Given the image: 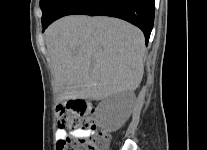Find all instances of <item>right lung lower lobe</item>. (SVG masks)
Wrapping results in <instances>:
<instances>
[{
  "instance_id": "1",
  "label": "right lung lower lobe",
  "mask_w": 207,
  "mask_h": 150,
  "mask_svg": "<svg viewBox=\"0 0 207 150\" xmlns=\"http://www.w3.org/2000/svg\"><path fill=\"white\" fill-rule=\"evenodd\" d=\"M154 12L155 0H64L53 17L42 26L45 29L56 19L73 14L117 17L139 27L147 44L153 28Z\"/></svg>"
}]
</instances>
